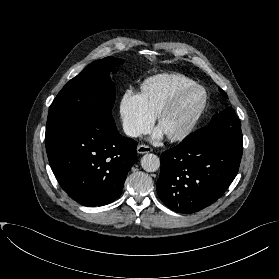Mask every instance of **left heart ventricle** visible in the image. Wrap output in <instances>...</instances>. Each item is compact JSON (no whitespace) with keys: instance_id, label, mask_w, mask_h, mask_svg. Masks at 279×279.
Instances as JSON below:
<instances>
[{"instance_id":"left-heart-ventricle-1","label":"left heart ventricle","mask_w":279,"mask_h":279,"mask_svg":"<svg viewBox=\"0 0 279 279\" xmlns=\"http://www.w3.org/2000/svg\"><path fill=\"white\" fill-rule=\"evenodd\" d=\"M203 100V93L196 90L190 93L176 110L171 113L160 125L164 134H173L184 129L193 118Z\"/></svg>"}]
</instances>
